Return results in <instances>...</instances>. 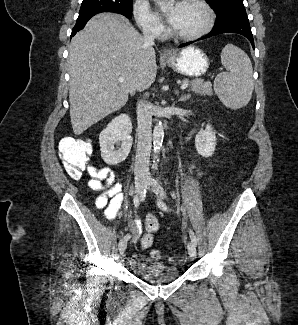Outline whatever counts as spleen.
<instances>
[{"label": "spleen", "mask_w": 298, "mask_h": 325, "mask_svg": "<svg viewBox=\"0 0 298 325\" xmlns=\"http://www.w3.org/2000/svg\"><path fill=\"white\" fill-rule=\"evenodd\" d=\"M221 62L229 72H219L215 76V94L228 108L246 106L254 88L252 62L248 54L235 44H225Z\"/></svg>", "instance_id": "3e777b00"}]
</instances>
